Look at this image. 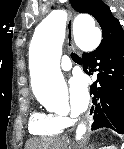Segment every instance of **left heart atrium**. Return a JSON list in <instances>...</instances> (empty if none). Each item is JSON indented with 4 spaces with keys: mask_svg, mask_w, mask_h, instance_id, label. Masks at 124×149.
<instances>
[{
    "mask_svg": "<svg viewBox=\"0 0 124 149\" xmlns=\"http://www.w3.org/2000/svg\"><path fill=\"white\" fill-rule=\"evenodd\" d=\"M69 97L73 115L77 116L87 109L89 92L87 82L83 76L76 75L70 80Z\"/></svg>",
    "mask_w": 124,
    "mask_h": 149,
    "instance_id": "39dd6f15",
    "label": "left heart atrium"
}]
</instances>
